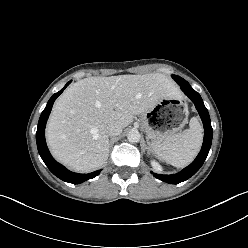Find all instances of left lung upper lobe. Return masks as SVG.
<instances>
[{
	"label": "left lung upper lobe",
	"mask_w": 248,
	"mask_h": 248,
	"mask_svg": "<svg viewBox=\"0 0 248 248\" xmlns=\"http://www.w3.org/2000/svg\"><path fill=\"white\" fill-rule=\"evenodd\" d=\"M172 78L180 85V86H189V83L184 80L183 78L177 76V75H172Z\"/></svg>",
	"instance_id": "left-lung-upper-lobe-1"
}]
</instances>
